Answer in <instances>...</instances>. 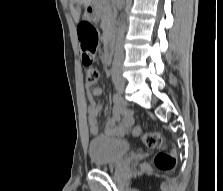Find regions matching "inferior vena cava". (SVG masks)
I'll use <instances>...</instances> for the list:
<instances>
[{
    "instance_id": "1",
    "label": "inferior vena cava",
    "mask_w": 223,
    "mask_h": 191,
    "mask_svg": "<svg viewBox=\"0 0 223 191\" xmlns=\"http://www.w3.org/2000/svg\"><path fill=\"white\" fill-rule=\"evenodd\" d=\"M122 5H123V0H119L118 6L120 9L122 8ZM124 27H125V25H122L120 35L118 36V39H117V45H116L114 61H113V68H112L114 73L119 72V70L122 66V60L124 58L123 46L121 43Z\"/></svg>"
}]
</instances>
